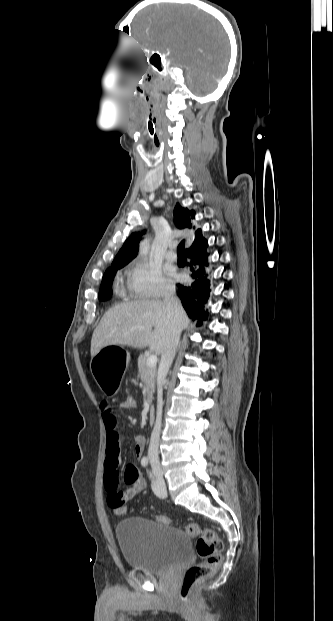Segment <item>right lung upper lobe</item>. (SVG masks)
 <instances>
[{"instance_id": "1", "label": "right lung upper lobe", "mask_w": 333, "mask_h": 621, "mask_svg": "<svg viewBox=\"0 0 333 621\" xmlns=\"http://www.w3.org/2000/svg\"><path fill=\"white\" fill-rule=\"evenodd\" d=\"M173 214L174 222L179 229L192 228L191 219L194 218L195 211L184 208L179 203H177L174 208ZM143 234H145V231L134 232L128 237L123 247L120 249L114 261L112 262L111 267L126 265L136 257L139 249L138 243ZM207 244V241L204 240L202 237V231L200 229H197L195 231V240L190 248L200 245L204 246ZM186 251H188V249Z\"/></svg>"}]
</instances>
